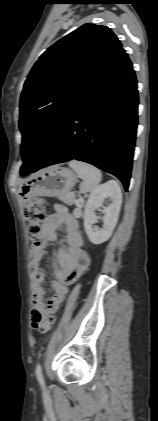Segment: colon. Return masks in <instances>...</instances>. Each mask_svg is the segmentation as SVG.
<instances>
[{"mask_svg": "<svg viewBox=\"0 0 158 421\" xmlns=\"http://www.w3.org/2000/svg\"><path fill=\"white\" fill-rule=\"evenodd\" d=\"M23 216L28 225L29 238L32 246L38 244L39 235L45 220V210L41 200L26 203L23 207ZM55 322V317L49 314L42 318L38 324V330L42 333L49 331Z\"/></svg>", "mask_w": 158, "mask_h": 421, "instance_id": "1", "label": "colon"}]
</instances>
